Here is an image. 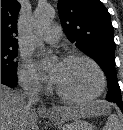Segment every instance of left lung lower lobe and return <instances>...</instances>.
Segmentation results:
<instances>
[{
    "label": "left lung lower lobe",
    "instance_id": "left-lung-lower-lobe-1",
    "mask_svg": "<svg viewBox=\"0 0 123 130\" xmlns=\"http://www.w3.org/2000/svg\"><path fill=\"white\" fill-rule=\"evenodd\" d=\"M120 110L122 111V113H123V108H120Z\"/></svg>",
    "mask_w": 123,
    "mask_h": 130
}]
</instances>
